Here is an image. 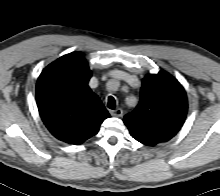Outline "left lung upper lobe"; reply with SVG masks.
<instances>
[{
	"label": "left lung upper lobe",
	"instance_id": "1",
	"mask_svg": "<svg viewBox=\"0 0 220 196\" xmlns=\"http://www.w3.org/2000/svg\"><path fill=\"white\" fill-rule=\"evenodd\" d=\"M187 115V98L181 84L161 70L142 80L141 98L135 110L124 116L133 138L155 146L173 138Z\"/></svg>",
	"mask_w": 220,
	"mask_h": 196
}]
</instances>
